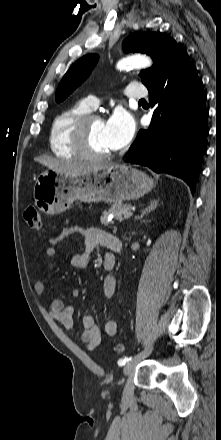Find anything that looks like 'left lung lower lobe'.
I'll use <instances>...</instances> for the list:
<instances>
[{
    "label": "left lung lower lobe",
    "mask_w": 221,
    "mask_h": 440,
    "mask_svg": "<svg viewBox=\"0 0 221 440\" xmlns=\"http://www.w3.org/2000/svg\"><path fill=\"white\" fill-rule=\"evenodd\" d=\"M157 105L148 129L140 130L129 148L132 164L183 179L194 193L206 151L208 110L202 80L183 49L169 59L149 86Z\"/></svg>",
    "instance_id": "0a47b994"
}]
</instances>
